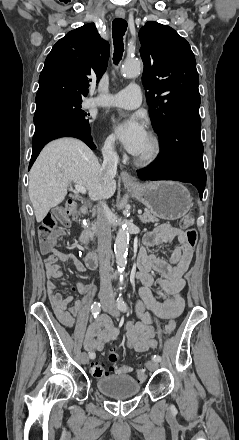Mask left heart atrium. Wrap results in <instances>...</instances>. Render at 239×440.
Segmentation results:
<instances>
[{
  "label": "left heart atrium",
  "mask_w": 239,
  "mask_h": 440,
  "mask_svg": "<svg viewBox=\"0 0 239 440\" xmlns=\"http://www.w3.org/2000/svg\"><path fill=\"white\" fill-rule=\"evenodd\" d=\"M113 137L133 155H138L144 146L148 132L139 114L115 116L109 120Z\"/></svg>",
  "instance_id": "obj_1"
}]
</instances>
